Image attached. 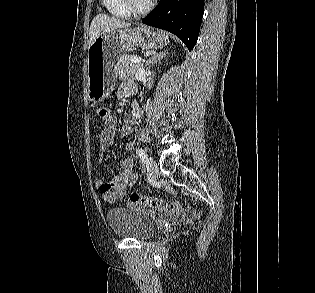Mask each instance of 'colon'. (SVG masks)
<instances>
[{
	"mask_svg": "<svg viewBox=\"0 0 315 293\" xmlns=\"http://www.w3.org/2000/svg\"><path fill=\"white\" fill-rule=\"evenodd\" d=\"M98 118L104 123L109 115L110 111L106 107H98L96 109ZM129 206H142L155 208L158 211H171L174 215V220L180 223H188L193 218L194 212L190 209H181L178 201H165L160 198L141 195L138 193H132L126 200Z\"/></svg>",
	"mask_w": 315,
	"mask_h": 293,
	"instance_id": "1",
	"label": "colon"
}]
</instances>
